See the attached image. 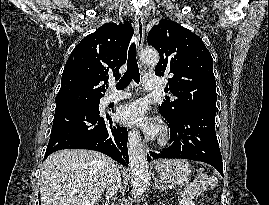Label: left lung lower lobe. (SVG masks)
<instances>
[{
  "mask_svg": "<svg viewBox=\"0 0 269 205\" xmlns=\"http://www.w3.org/2000/svg\"><path fill=\"white\" fill-rule=\"evenodd\" d=\"M215 116L216 111L212 109L191 110L174 120L163 115L170 125L173 144L163 151L150 152L147 160L181 158L202 161L223 175L222 156L215 133Z\"/></svg>",
  "mask_w": 269,
  "mask_h": 205,
  "instance_id": "left-lung-lower-lobe-1",
  "label": "left lung lower lobe"
}]
</instances>
